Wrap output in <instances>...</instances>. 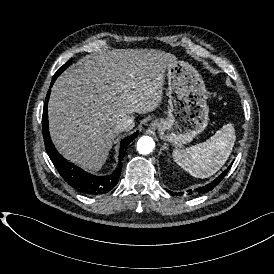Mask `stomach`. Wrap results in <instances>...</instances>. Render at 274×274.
Segmentation results:
<instances>
[{"mask_svg":"<svg viewBox=\"0 0 274 274\" xmlns=\"http://www.w3.org/2000/svg\"><path fill=\"white\" fill-rule=\"evenodd\" d=\"M168 115L151 127L163 141L175 147L190 143L208 125L207 92L199 72L189 63L175 60L167 66Z\"/></svg>","mask_w":274,"mask_h":274,"instance_id":"0dacf381","label":"stomach"}]
</instances>
